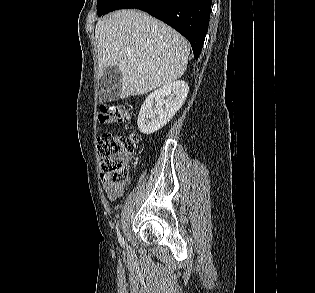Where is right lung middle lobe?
Returning <instances> with one entry per match:
<instances>
[{"label":"right lung middle lobe","instance_id":"1","mask_svg":"<svg viewBox=\"0 0 315 293\" xmlns=\"http://www.w3.org/2000/svg\"><path fill=\"white\" fill-rule=\"evenodd\" d=\"M112 1L113 0H97V14H98V16H101L105 13V11L108 8V5Z\"/></svg>","mask_w":315,"mask_h":293}]
</instances>
